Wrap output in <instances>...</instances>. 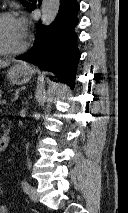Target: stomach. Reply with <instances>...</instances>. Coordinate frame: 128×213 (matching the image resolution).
Wrapping results in <instances>:
<instances>
[{
  "label": "stomach",
  "instance_id": "stomach-1",
  "mask_svg": "<svg viewBox=\"0 0 128 213\" xmlns=\"http://www.w3.org/2000/svg\"><path fill=\"white\" fill-rule=\"evenodd\" d=\"M33 70L26 64L18 63L7 71V78L13 84H23L30 80Z\"/></svg>",
  "mask_w": 128,
  "mask_h": 213
}]
</instances>
